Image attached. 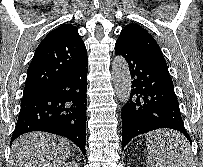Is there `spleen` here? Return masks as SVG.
Listing matches in <instances>:
<instances>
[{
  "label": "spleen",
  "instance_id": "1",
  "mask_svg": "<svg viewBox=\"0 0 203 167\" xmlns=\"http://www.w3.org/2000/svg\"><path fill=\"white\" fill-rule=\"evenodd\" d=\"M148 147L147 167H190L191 153L187 140L179 133L171 134L160 144L146 138ZM185 147V149H184ZM179 149H182L179 153ZM178 150V152H177Z\"/></svg>",
  "mask_w": 203,
  "mask_h": 167
}]
</instances>
